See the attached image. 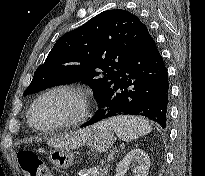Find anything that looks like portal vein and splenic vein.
<instances>
[{"mask_svg": "<svg viewBox=\"0 0 205 176\" xmlns=\"http://www.w3.org/2000/svg\"><path fill=\"white\" fill-rule=\"evenodd\" d=\"M108 161H111L113 159V151L110 153V155H108Z\"/></svg>", "mask_w": 205, "mask_h": 176, "instance_id": "portal-vein-and-splenic-vein-1", "label": "portal vein and splenic vein"}]
</instances>
